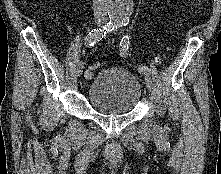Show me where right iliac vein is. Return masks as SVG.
Returning <instances> with one entry per match:
<instances>
[{
  "mask_svg": "<svg viewBox=\"0 0 221 174\" xmlns=\"http://www.w3.org/2000/svg\"><path fill=\"white\" fill-rule=\"evenodd\" d=\"M95 23L97 25H101V24L104 23V21L102 19H96ZM82 72H83V63L80 62L79 65H78V71H77L79 77L81 76Z\"/></svg>",
  "mask_w": 221,
  "mask_h": 174,
  "instance_id": "1",
  "label": "right iliac vein"
}]
</instances>
